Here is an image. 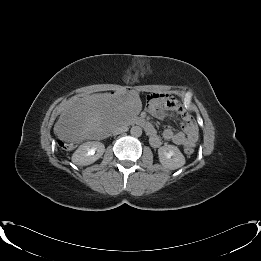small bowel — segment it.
<instances>
[{
  "label": "small bowel",
  "mask_w": 261,
  "mask_h": 261,
  "mask_svg": "<svg viewBox=\"0 0 261 261\" xmlns=\"http://www.w3.org/2000/svg\"><path fill=\"white\" fill-rule=\"evenodd\" d=\"M162 106L171 112H175L181 118L183 125V131L180 132H175L170 128L165 129L162 133V137L176 145L194 147L198 140V126L191 115L183 108L177 99L166 93L154 94L152 104L148 108L149 114L156 119H164L167 116V113ZM149 125L150 129L148 135L150 137V142L153 146L157 147L161 144V139L154 126L150 123Z\"/></svg>",
  "instance_id": "small-bowel-1"
}]
</instances>
